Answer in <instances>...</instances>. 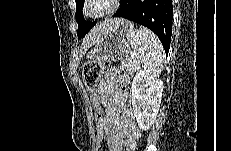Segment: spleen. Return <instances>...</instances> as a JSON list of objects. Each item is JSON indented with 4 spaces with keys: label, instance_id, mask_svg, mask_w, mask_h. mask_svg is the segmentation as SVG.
I'll return each instance as SVG.
<instances>
[{
    "label": "spleen",
    "instance_id": "obj_1",
    "mask_svg": "<svg viewBox=\"0 0 231 151\" xmlns=\"http://www.w3.org/2000/svg\"><path fill=\"white\" fill-rule=\"evenodd\" d=\"M130 44L138 67L152 77H158L164 62V49L159 38L148 28L140 26L130 35Z\"/></svg>",
    "mask_w": 231,
    "mask_h": 151
}]
</instances>
